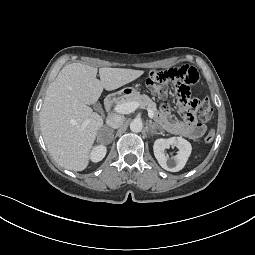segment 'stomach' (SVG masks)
<instances>
[{
	"label": "stomach",
	"mask_w": 255,
	"mask_h": 255,
	"mask_svg": "<svg viewBox=\"0 0 255 255\" xmlns=\"http://www.w3.org/2000/svg\"><path fill=\"white\" fill-rule=\"evenodd\" d=\"M121 93L123 94L124 97H130L136 94L137 90L129 87V88H125Z\"/></svg>",
	"instance_id": "stomach-1"
}]
</instances>
